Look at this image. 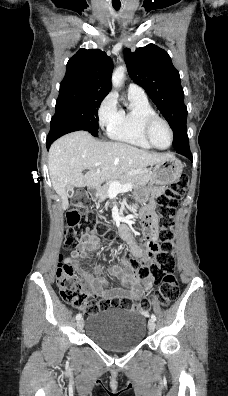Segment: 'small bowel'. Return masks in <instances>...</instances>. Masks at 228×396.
I'll return each instance as SVG.
<instances>
[{"mask_svg": "<svg viewBox=\"0 0 228 396\" xmlns=\"http://www.w3.org/2000/svg\"><path fill=\"white\" fill-rule=\"evenodd\" d=\"M163 190V187L155 188L154 195H159ZM155 201L151 200L148 205L142 210L143 214L149 215L151 219V228L149 232V237L154 241L157 240V223L154 216ZM120 235L123 240H125L129 246L132 255L139 258L145 264L152 262L155 251H150L146 248L138 246L132 235L130 234L129 228L127 226H122L120 228ZM100 246V241L98 234L95 230H90L86 233L85 241L80 243L75 250L71 251L70 254L64 258L63 262L72 265L80 274L83 286L86 292L94 297H102L104 299H114L123 296H130L133 299H138L142 293L143 289L139 286V279L135 272L123 270V266H127V263L123 261L121 264L114 265L108 269L109 273L119 280L120 286L113 289H108V282L105 278L97 275V272L101 271L102 268L97 269L96 272L92 273L85 270L82 267L80 260L85 258L90 251L97 250ZM154 279L150 278L145 281L146 289H150L153 284Z\"/></svg>", "mask_w": 228, "mask_h": 396, "instance_id": "c3829d8e", "label": "small bowel"}]
</instances>
